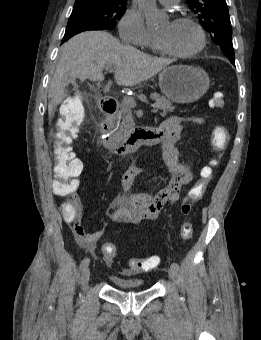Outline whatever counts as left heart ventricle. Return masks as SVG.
Instances as JSON below:
<instances>
[{
    "label": "left heart ventricle",
    "instance_id": "left-heart-ventricle-1",
    "mask_svg": "<svg viewBox=\"0 0 261 340\" xmlns=\"http://www.w3.org/2000/svg\"><path fill=\"white\" fill-rule=\"evenodd\" d=\"M156 36L172 51L190 52L199 44L196 29L187 23L166 22L156 32Z\"/></svg>",
    "mask_w": 261,
    "mask_h": 340
}]
</instances>
